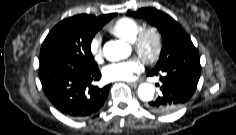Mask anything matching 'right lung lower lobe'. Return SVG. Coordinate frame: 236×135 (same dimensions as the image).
<instances>
[{
  "label": "right lung lower lobe",
  "mask_w": 236,
  "mask_h": 135,
  "mask_svg": "<svg viewBox=\"0 0 236 135\" xmlns=\"http://www.w3.org/2000/svg\"><path fill=\"white\" fill-rule=\"evenodd\" d=\"M40 79L47 98L61 113L73 118L96 114L107 99L110 84L93 85L101 78L98 68L57 66L40 68Z\"/></svg>",
  "instance_id": "obj_1"
}]
</instances>
